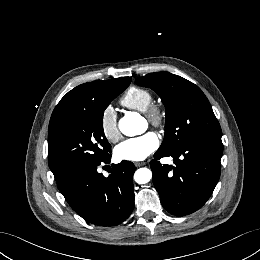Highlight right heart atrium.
<instances>
[{"mask_svg":"<svg viewBox=\"0 0 260 260\" xmlns=\"http://www.w3.org/2000/svg\"><path fill=\"white\" fill-rule=\"evenodd\" d=\"M100 126L105 138L111 142H116L120 133L117 124V114L112 106H106L100 117Z\"/></svg>","mask_w":260,"mask_h":260,"instance_id":"d8ad5b80","label":"right heart atrium"}]
</instances>
